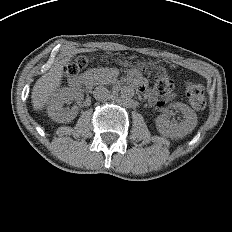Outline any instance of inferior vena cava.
Listing matches in <instances>:
<instances>
[{"label":"inferior vena cava","instance_id":"obj_1","mask_svg":"<svg viewBox=\"0 0 232 232\" xmlns=\"http://www.w3.org/2000/svg\"><path fill=\"white\" fill-rule=\"evenodd\" d=\"M93 96L97 100L108 99L110 97V92L104 86H97L93 91Z\"/></svg>","mask_w":232,"mask_h":232}]
</instances>
